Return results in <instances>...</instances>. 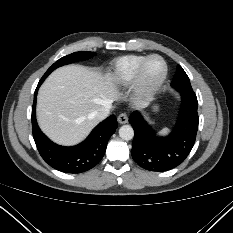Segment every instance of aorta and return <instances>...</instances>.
<instances>
[{
  "label": "aorta",
  "instance_id": "obj_1",
  "mask_svg": "<svg viewBox=\"0 0 233 233\" xmlns=\"http://www.w3.org/2000/svg\"><path fill=\"white\" fill-rule=\"evenodd\" d=\"M119 136L123 140H131L134 137V130L130 125H123L119 129Z\"/></svg>",
  "mask_w": 233,
  "mask_h": 233
}]
</instances>
